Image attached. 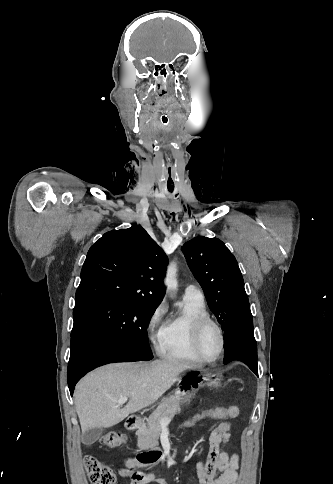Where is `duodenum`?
I'll return each mask as SVG.
<instances>
[{
  "mask_svg": "<svg viewBox=\"0 0 333 484\" xmlns=\"http://www.w3.org/2000/svg\"><path fill=\"white\" fill-rule=\"evenodd\" d=\"M139 424H140V419L138 417H129L126 421V428L129 430H134L138 428ZM151 457H152V454H149V453H141L139 455L140 460L150 459ZM127 463L131 464L132 460L127 459Z\"/></svg>",
  "mask_w": 333,
  "mask_h": 484,
  "instance_id": "duodenum-1",
  "label": "duodenum"
}]
</instances>
